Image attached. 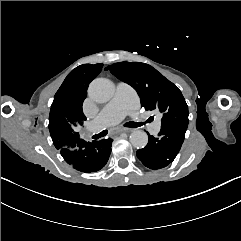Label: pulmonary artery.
<instances>
[{"label":"pulmonary artery","mask_w":241,"mask_h":241,"mask_svg":"<svg viewBox=\"0 0 241 241\" xmlns=\"http://www.w3.org/2000/svg\"><path fill=\"white\" fill-rule=\"evenodd\" d=\"M138 102V96L133 93V89L129 85L118 84L113 99L88 122V131L96 134L112 125L119 124L128 116L131 108L138 105ZM144 128L147 132L154 133L158 130L159 123L156 119L149 118L145 121Z\"/></svg>","instance_id":"obj_1"}]
</instances>
